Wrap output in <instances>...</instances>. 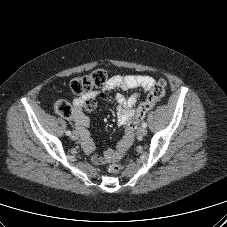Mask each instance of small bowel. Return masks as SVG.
<instances>
[{"instance_id":"c3829d8e","label":"small bowel","mask_w":227,"mask_h":227,"mask_svg":"<svg viewBox=\"0 0 227 227\" xmlns=\"http://www.w3.org/2000/svg\"><path fill=\"white\" fill-rule=\"evenodd\" d=\"M155 80L148 75H114L108 79L104 85V91L113 89L129 90L134 88H141L149 92ZM98 98L106 100L105 93L88 94L79 96L74 99V110L71 116L75 128L80 134L84 151L91 155L92 161L96 164H107L110 160L117 159L122 156L130 147L133 140V132L135 123L134 120L135 107L140 99L138 94H133L129 97H124L117 94L114 99L117 122L120 126L124 127V134L120 141L117 143L116 148L108 149L104 154H96L94 142L89 131V118L85 112H92L97 107Z\"/></svg>"}]
</instances>
